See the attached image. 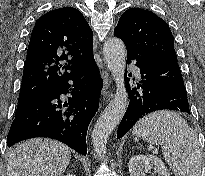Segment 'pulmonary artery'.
I'll use <instances>...</instances> for the list:
<instances>
[{"instance_id": "obj_1", "label": "pulmonary artery", "mask_w": 205, "mask_h": 176, "mask_svg": "<svg viewBox=\"0 0 205 176\" xmlns=\"http://www.w3.org/2000/svg\"><path fill=\"white\" fill-rule=\"evenodd\" d=\"M129 69H131L135 73V75L140 76V71H139L138 67L129 66Z\"/></svg>"}]
</instances>
